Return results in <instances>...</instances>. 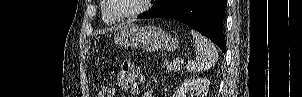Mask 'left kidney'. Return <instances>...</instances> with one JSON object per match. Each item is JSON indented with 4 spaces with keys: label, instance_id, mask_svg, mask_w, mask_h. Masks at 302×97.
Listing matches in <instances>:
<instances>
[{
    "label": "left kidney",
    "instance_id": "left-kidney-1",
    "mask_svg": "<svg viewBox=\"0 0 302 97\" xmlns=\"http://www.w3.org/2000/svg\"><path fill=\"white\" fill-rule=\"evenodd\" d=\"M209 85L207 78L188 79L178 87L173 97H206Z\"/></svg>",
    "mask_w": 302,
    "mask_h": 97
}]
</instances>
